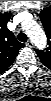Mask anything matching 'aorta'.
<instances>
[{
  "label": "aorta",
  "instance_id": "aorta-1",
  "mask_svg": "<svg viewBox=\"0 0 51 101\" xmlns=\"http://www.w3.org/2000/svg\"><path fill=\"white\" fill-rule=\"evenodd\" d=\"M23 29L39 49H44L46 47V35L35 21L26 23Z\"/></svg>",
  "mask_w": 51,
  "mask_h": 101
}]
</instances>
